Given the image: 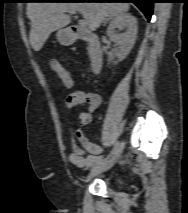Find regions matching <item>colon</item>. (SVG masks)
I'll use <instances>...</instances> for the list:
<instances>
[{"label": "colon", "instance_id": "obj_1", "mask_svg": "<svg viewBox=\"0 0 188 213\" xmlns=\"http://www.w3.org/2000/svg\"><path fill=\"white\" fill-rule=\"evenodd\" d=\"M51 68L54 73L68 86L72 85V79L68 75L65 67L58 61L52 60L51 61Z\"/></svg>", "mask_w": 188, "mask_h": 213}]
</instances>
